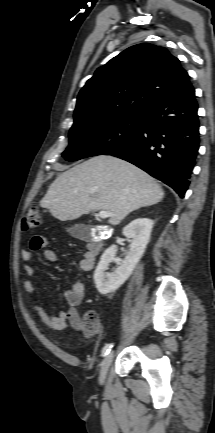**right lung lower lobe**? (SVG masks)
Segmentation results:
<instances>
[{
    "instance_id": "98d812e1",
    "label": "right lung lower lobe",
    "mask_w": 215,
    "mask_h": 433,
    "mask_svg": "<svg viewBox=\"0 0 215 433\" xmlns=\"http://www.w3.org/2000/svg\"><path fill=\"white\" fill-rule=\"evenodd\" d=\"M198 104L191 83L153 104L130 143L105 155L126 160L183 198L199 148Z\"/></svg>"
}]
</instances>
